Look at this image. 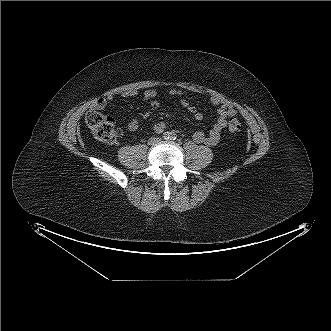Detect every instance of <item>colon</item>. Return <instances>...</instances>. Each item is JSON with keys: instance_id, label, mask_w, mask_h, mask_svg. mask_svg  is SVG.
<instances>
[{"instance_id": "obj_1", "label": "colon", "mask_w": 331, "mask_h": 331, "mask_svg": "<svg viewBox=\"0 0 331 331\" xmlns=\"http://www.w3.org/2000/svg\"><path fill=\"white\" fill-rule=\"evenodd\" d=\"M86 123L94 137L105 143H114L121 134V131L115 127L112 117L104 115L95 109L87 112ZM228 130L231 134L236 135L242 131V124L237 118L231 117L228 122Z\"/></svg>"}]
</instances>
